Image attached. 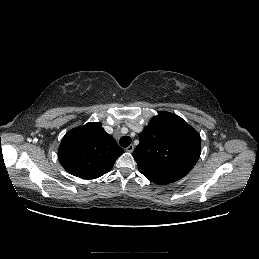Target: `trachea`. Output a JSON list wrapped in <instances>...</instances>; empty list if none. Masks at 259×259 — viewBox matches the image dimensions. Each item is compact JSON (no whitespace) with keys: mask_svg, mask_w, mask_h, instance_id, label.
Segmentation results:
<instances>
[{"mask_svg":"<svg viewBox=\"0 0 259 259\" xmlns=\"http://www.w3.org/2000/svg\"><path fill=\"white\" fill-rule=\"evenodd\" d=\"M119 144L123 147L126 148L131 144V138L129 136H123L119 140Z\"/></svg>","mask_w":259,"mask_h":259,"instance_id":"3493384b","label":"trachea"}]
</instances>
